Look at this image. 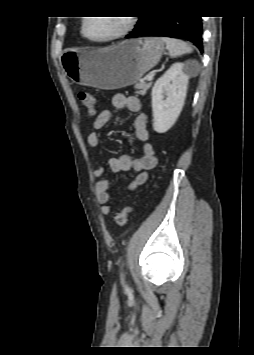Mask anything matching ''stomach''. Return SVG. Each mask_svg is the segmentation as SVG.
<instances>
[{"label":"stomach","instance_id":"1","mask_svg":"<svg viewBox=\"0 0 254 355\" xmlns=\"http://www.w3.org/2000/svg\"><path fill=\"white\" fill-rule=\"evenodd\" d=\"M163 51L161 38L143 37L103 49H67L60 62L73 82L113 90L137 83L159 62Z\"/></svg>","mask_w":254,"mask_h":355}]
</instances>
